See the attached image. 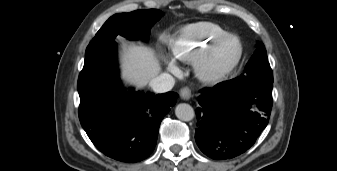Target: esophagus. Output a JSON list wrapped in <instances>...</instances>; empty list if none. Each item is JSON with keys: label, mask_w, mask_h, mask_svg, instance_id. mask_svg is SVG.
I'll return each mask as SVG.
<instances>
[{"label": "esophagus", "mask_w": 337, "mask_h": 171, "mask_svg": "<svg viewBox=\"0 0 337 171\" xmlns=\"http://www.w3.org/2000/svg\"><path fill=\"white\" fill-rule=\"evenodd\" d=\"M191 90L188 87H183L180 90V96L183 100H189L191 98Z\"/></svg>", "instance_id": "1"}]
</instances>
